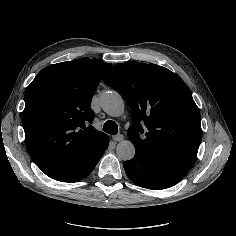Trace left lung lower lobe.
I'll return each instance as SVG.
<instances>
[{"instance_id": "left-lung-lower-lobe-1", "label": "left lung lower lobe", "mask_w": 236, "mask_h": 236, "mask_svg": "<svg viewBox=\"0 0 236 236\" xmlns=\"http://www.w3.org/2000/svg\"><path fill=\"white\" fill-rule=\"evenodd\" d=\"M124 169L136 185L147 189L169 188L185 176L166 163L138 150L131 160L124 162Z\"/></svg>"}]
</instances>
